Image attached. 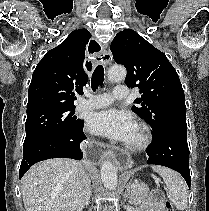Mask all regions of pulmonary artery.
Masks as SVG:
<instances>
[{
    "label": "pulmonary artery",
    "instance_id": "1",
    "mask_svg": "<svg viewBox=\"0 0 209 211\" xmlns=\"http://www.w3.org/2000/svg\"><path fill=\"white\" fill-rule=\"evenodd\" d=\"M128 95L129 90L125 85H117L112 93L93 94L87 95L86 98H82L77 105V110L100 109L110 105L115 99H125Z\"/></svg>",
    "mask_w": 209,
    "mask_h": 211
}]
</instances>
